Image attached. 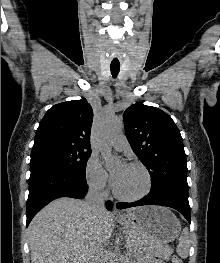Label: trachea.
<instances>
[{
	"mask_svg": "<svg viewBox=\"0 0 220 263\" xmlns=\"http://www.w3.org/2000/svg\"><path fill=\"white\" fill-rule=\"evenodd\" d=\"M110 69H111V74H112L113 78H116L119 71H120V65L119 64H117V65L111 64Z\"/></svg>",
	"mask_w": 220,
	"mask_h": 263,
	"instance_id": "trachea-1",
	"label": "trachea"
}]
</instances>
